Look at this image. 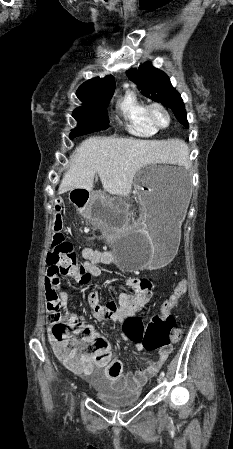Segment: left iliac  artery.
I'll list each match as a JSON object with an SVG mask.
<instances>
[{
    "label": "left iliac artery",
    "mask_w": 233,
    "mask_h": 449,
    "mask_svg": "<svg viewBox=\"0 0 233 449\" xmlns=\"http://www.w3.org/2000/svg\"><path fill=\"white\" fill-rule=\"evenodd\" d=\"M161 376H162V377H164V376H165V373H164L163 371L161 372Z\"/></svg>",
    "instance_id": "1"
}]
</instances>
